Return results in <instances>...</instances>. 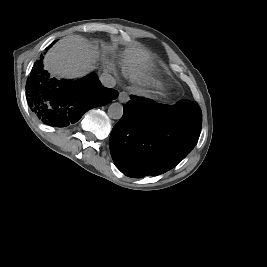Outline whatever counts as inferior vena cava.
<instances>
[{"label":"inferior vena cava","instance_id":"obj_1","mask_svg":"<svg viewBox=\"0 0 267 267\" xmlns=\"http://www.w3.org/2000/svg\"><path fill=\"white\" fill-rule=\"evenodd\" d=\"M99 80L102 83V85H104L107 88H113L116 85V79L107 72L102 73L99 77Z\"/></svg>","mask_w":267,"mask_h":267}]
</instances>
